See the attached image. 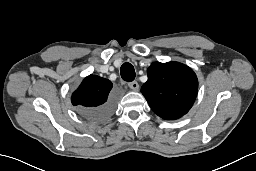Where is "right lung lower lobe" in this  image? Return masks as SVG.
Instances as JSON below:
<instances>
[{
  "mask_svg": "<svg viewBox=\"0 0 256 171\" xmlns=\"http://www.w3.org/2000/svg\"><path fill=\"white\" fill-rule=\"evenodd\" d=\"M115 109V100L111 98L104 105L85 111L82 115L90 121H103L109 117Z\"/></svg>",
  "mask_w": 256,
  "mask_h": 171,
  "instance_id": "1",
  "label": "right lung lower lobe"
}]
</instances>
